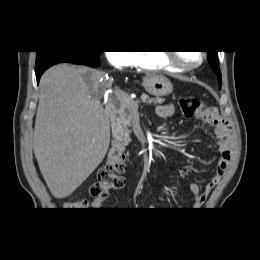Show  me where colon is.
I'll use <instances>...</instances> for the list:
<instances>
[{
  "label": "colon",
  "instance_id": "5ec220e1",
  "mask_svg": "<svg viewBox=\"0 0 260 260\" xmlns=\"http://www.w3.org/2000/svg\"><path fill=\"white\" fill-rule=\"evenodd\" d=\"M178 105L185 118H200L207 111L202 102L196 98H180ZM127 167L125 157L117 152H110L107 156L104 167L98 174V180L89 188V195L93 198L108 196L110 189L120 188L124 185L122 174ZM66 209L84 210L87 202L84 200H67L64 203Z\"/></svg>",
  "mask_w": 260,
  "mask_h": 260
}]
</instances>
